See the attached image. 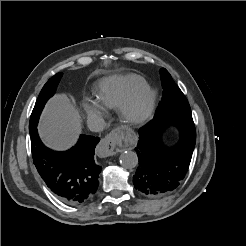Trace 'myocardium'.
Instances as JSON below:
<instances>
[{"label": "myocardium", "instance_id": "obj_1", "mask_svg": "<svg viewBox=\"0 0 246 246\" xmlns=\"http://www.w3.org/2000/svg\"><path fill=\"white\" fill-rule=\"evenodd\" d=\"M157 100L156 92L146 86L131 95L120 107L121 120L131 126L146 123L153 115Z\"/></svg>", "mask_w": 246, "mask_h": 246}]
</instances>
